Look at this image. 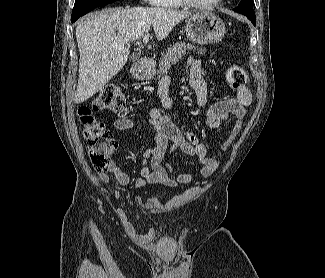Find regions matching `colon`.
Wrapping results in <instances>:
<instances>
[{
    "label": "colon",
    "instance_id": "5ec220e1",
    "mask_svg": "<svg viewBox=\"0 0 325 278\" xmlns=\"http://www.w3.org/2000/svg\"><path fill=\"white\" fill-rule=\"evenodd\" d=\"M227 79L233 88L238 89L246 84L248 77L241 66L232 65L228 68ZM97 111H109L120 116L126 114V98L118 86L103 88L89 104L78 108L91 162L98 172H105L110 166L116 142L111 132L95 116Z\"/></svg>",
    "mask_w": 325,
    "mask_h": 278
}]
</instances>
